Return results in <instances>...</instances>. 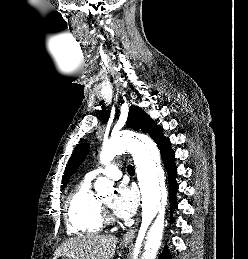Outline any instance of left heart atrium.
Instances as JSON below:
<instances>
[{
  "mask_svg": "<svg viewBox=\"0 0 248 259\" xmlns=\"http://www.w3.org/2000/svg\"><path fill=\"white\" fill-rule=\"evenodd\" d=\"M138 205V194L136 190L125 184H120L111 204L115 214L121 218L131 217Z\"/></svg>",
  "mask_w": 248,
  "mask_h": 259,
  "instance_id": "left-heart-atrium-1",
  "label": "left heart atrium"
}]
</instances>
